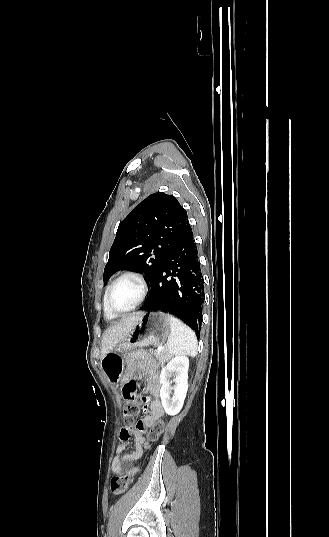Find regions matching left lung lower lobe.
Returning a JSON list of instances; mask_svg holds the SVG:
<instances>
[{
  "instance_id": "obj_1",
  "label": "left lung lower lobe",
  "mask_w": 329,
  "mask_h": 537,
  "mask_svg": "<svg viewBox=\"0 0 329 537\" xmlns=\"http://www.w3.org/2000/svg\"><path fill=\"white\" fill-rule=\"evenodd\" d=\"M202 302L203 279L190 228L158 267L149 295L140 309L174 314L199 336Z\"/></svg>"
}]
</instances>
